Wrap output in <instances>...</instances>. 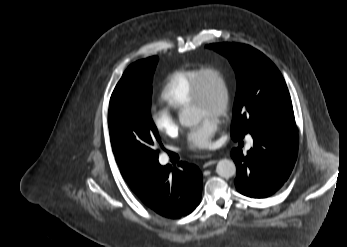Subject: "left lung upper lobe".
<instances>
[{
	"label": "left lung upper lobe",
	"mask_w": 347,
	"mask_h": 247,
	"mask_svg": "<svg viewBox=\"0 0 347 247\" xmlns=\"http://www.w3.org/2000/svg\"><path fill=\"white\" fill-rule=\"evenodd\" d=\"M226 56L237 79L232 138L270 125L296 127L291 98L277 67L260 51L237 43L207 45Z\"/></svg>",
	"instance_id": "1"
}]
</instances>
